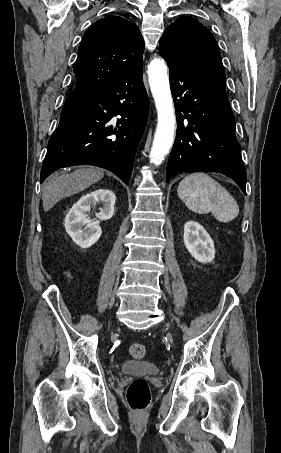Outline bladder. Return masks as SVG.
Here are the masks:
<instances>
[{
  "label": "bladder",
  "instance_id": "bladder-1",
  "mask_svg": "<svg viewBox=\"0 0 281 453\" xmlns=\"http://www.w3.org/2000/svg\"><path fill=\"white\" fill-rule=\"evenodd\" d=\"M121 371L127 375H157L159 372L154 365L143 361H126Z\"/></svg>",
  "mask_w": 281,
  "mask_h": 453
}]
</instances>
